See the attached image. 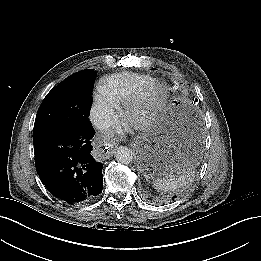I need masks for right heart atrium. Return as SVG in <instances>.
I'll list each match as a JSON object with an SVG mask.
<instances>
[{"instance_id": "1", "label": "right heart atrium", "mask_w": 261, "mask_h": 261, "mask_svg": "<svg viewBox=\"0 0 261 261\" xmlns=\"http://www.w3.org/2000/svg\"><path fill=\"white\" fill-rule=\"evenodd\" d=\"M115 102L109 96L107 91L104 88L99 90V97H98V105L97 109L99 110L100 114L105 116V118H112L114 114Z\"/></svg>"}]
</instances>
